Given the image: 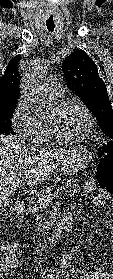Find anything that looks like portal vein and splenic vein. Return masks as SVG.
<instances>
[{"mask_svg": "<svg viewBox=\"0 0 113 279\" xmlns=\"http://www.w3.org/2000/svg\"><path fill=\"white\" fill-rule=\"evenodd\" d=\"M18 176H20V177L23 176V172L22 171L18 172ZM62 189H64V187H61V190ZM55 195H56V193L48 195L47 198L45 199V201L52 200V197Z\"/></svg>", "mask_w": 113, "mask_h": 279, "instance_id": "1", "label": "portal vein and splenic vein"}]
</instances>
